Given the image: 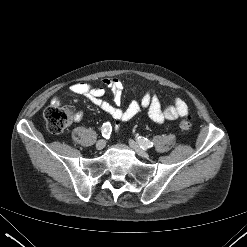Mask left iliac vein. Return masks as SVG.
Listing matches in <instances>:
<instances>
[{
    "instance_id": "1",
    "label": "left iliac vein",
    "mask_w": 247,
    "mask_h": 247,
    "mask_svg": "<svg viewBox=\"0 0 247 247\" xmlns=\"http://www.w3.org/2000/svg\"><path fill=\"white\" fill-rule=\"evenodd\" d=\"M129 145L130 147L135 151V153L137 155H139L140 157L142 158H148L149 157V154L144 150L142 149L136 142H134L133 140H130L129 141Z\"/></svg>"
}]
</instances>
